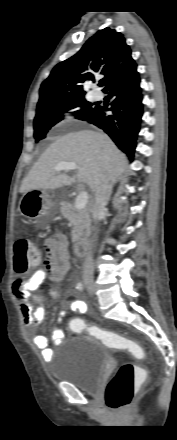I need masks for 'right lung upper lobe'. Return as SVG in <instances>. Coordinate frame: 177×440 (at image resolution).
Instances as JSON below:
<instances>
[{
	"label": "right lung upper lobe",
	"mask_w": 177,
	"mask_h": 440,
	"mask_svg": "<svg viewBox=\"0 0 177 440\" xmlns=\"http://www.w3.org/2000/svg\"><path fill=\"white\" fill-rule=\"evenodd\" d=\"M136 66L123 34L109 27L99 30L69 59L57 64L41 84L37 106L59 99L85 95L84 84L103 75L105 90L114 80Z\"/></svg>",
	"instance_id": "1"
}]
</instances>
